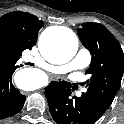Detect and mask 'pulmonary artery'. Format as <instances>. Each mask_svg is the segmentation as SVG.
<instances>
[{"label":"pulmonary artery","mask_w":124,"mask_h":124,"mask_svg":"<svg viewBox=\"0 0 124 124\" xmlns=\"http://www.w3.org/2000/svg\"><path fill=\"white\" fill-rule=\"evenodd\" d=\"M91 57V53L88 49L81 48L74 57V59L67 64L55 66L45 63H38L37 65L43 71H47L54 74H64L71 70L86 68L91 62ZM77 95L80 96L81 93L79 92Z\"/></svg>","instance_id":"1"}]
</instances>
